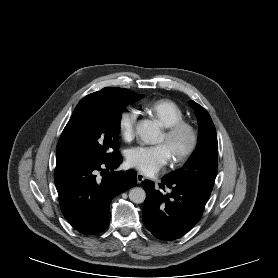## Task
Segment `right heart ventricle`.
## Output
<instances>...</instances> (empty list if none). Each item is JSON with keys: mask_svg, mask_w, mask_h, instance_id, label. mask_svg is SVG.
<instances>
[{"mask_svg": "<svg viewBox=\"0 0 278 278\" xmlns=\"http://www.w3.org/2000/svg\"><path fill=\"white\" fill-rule=\"evenodd\" d=\"M143 110L157 120L163 127L168 128L184 119L181 107L170 99H159L143 105Z\"/></svg>", "mask_w": 278, "mask_h": 278, "instance_id": "obj_1", "label": "right heart ventricle"}]
</instances>
